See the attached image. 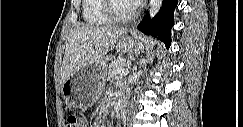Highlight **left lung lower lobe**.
Listing matches in <instances>:
<instances>
[{
	"label": "left lung lower lobe",
	"instance_id": "left-lung-lower-lobe-1",
	"mask_svg": "<svg viewBox=\"0 0 243 127\" xmlns=\"http://www.w3.org/2000/svg\"><path fill=\"white\" fill-rule=\"evenodd\" d=\"M177 0H163L160 11L153 19L149 18V13L143 17L138 25V29L146 35H151L163 41L167 48L171 44V28L174 25V9Z\"/></svg>",
	"mask_w": 243,
	"mask_h": 127
}]
</instances>
